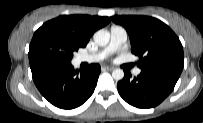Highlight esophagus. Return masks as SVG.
Returning a JSON list of instances; mask_svg holds the SVG:
<instances>
[{
	"instance_id": "1",
	"label": "esophagus",
	"mask_w": 203,
	"mask_h": 123,
	"mask_svg": "<svg viewBox=\"0 0 203 123\" xmlns=\"http://www.w3.org/2000/svg\"><path fill=\"white\" fill-rule=\"evenodd\" d=\"M113 69H114V67H111V66H103L102 67V70H107V71H111Z\"/></svg>"
}]
</instances>
